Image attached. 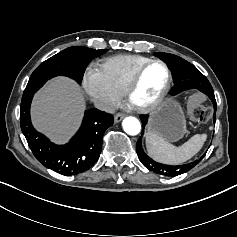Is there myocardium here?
<instances>
[{"label":"myocardium","instance_id":"obj_1","mask_svg":"<svg viewBox=\"0 0 237 237\" xmlns=\"http://www.w3.org/2000/svg\"><path fill=\"white\" fill-rule=\"evenodd\" d=\"M154 64H160L161 66L164 67L165 71H166V82L164 87L162 88V90L160 91V93L149 103L144 104V105H139L134 101V94L141 82L142 76L144 74V72L146 71V69ZM171 84H172V72L170 67L168 66V64L166 62H164L163 60L160 59H151L148 62H146L134 75V77L132 78L131 82L129 83L126 91H125V96H126V100L129 104V106L136 112L140 113V114H148L152 111H154L155 109H157L165 100V98L167 97L169 90L171 88Z\"/></svg>","mask_w":237,"mask_h":237}]
</instances>
